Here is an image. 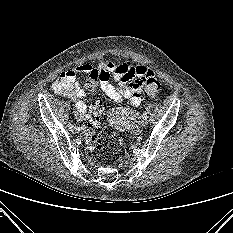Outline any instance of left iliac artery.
<instances>
[{
	"label": "left iliac artery",
	"instance_id": "44dca946",
	"mask_svg": "<svg viewBox=\"0 0 233 233\" xmlns=\"http://www.w3.org/2000/svg\"><path fill=\"white\" fill-rule=\"evenodd\" d=\"M142 118H143V119H146V118H147V113H146V112H143V113H142Z\"/></svg>",
	"mask_w": 233,
	"mask_h": 233
}]
</instances>
